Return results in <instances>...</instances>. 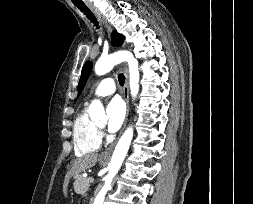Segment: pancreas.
<instances>
[{
  "mask_svg": "<svg viewBox=\"0 0 253 204\" xmlns=\"http://www.w3.org/2000/svg\"><path fill=\"white\" fill-rule=\"evenodd\" d=\"M89 185L88 178L79 176L74 186L75 192L84 195L87 192Z\"/></svg>",
  "mask_w": 253,
  "mask_h": 204,
  "instance_id": "cf45deb5",
  "label": "pancreas"
}]
</instances>
